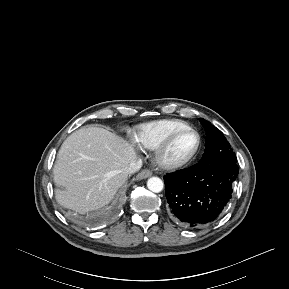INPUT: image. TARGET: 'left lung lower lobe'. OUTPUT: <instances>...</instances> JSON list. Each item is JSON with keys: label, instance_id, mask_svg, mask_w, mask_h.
<instances>
[{"label": "left lung lower lobe", "instance_id": "obj_1", "mask_svg": "<svg viewBox=\"0 0 289 289\" xmlns=\"http://www.w3.org/2000/svg\"><path fill=\"white\" fill-rule=\"evenodd\" d=\"M238 172L236 164H196L165 175V194L172 217L191 227L217 220L232 197Z\"/></svg>", "mask_w": 289, "mask_h": 289}]
</instances>
